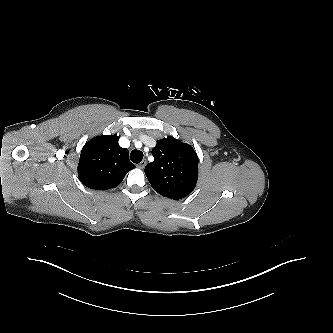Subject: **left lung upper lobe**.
Wrapping results in <instances>:
<instances>
[{
    "instance_id": "left-lung-upper-lobe-1",
    "label": "left lung upper lobe",
    "mask_w": 333,
    "mask_h": 333,
    "mask_svg": "<svg viewBox=\"0 0 333 333\" xmlns=\"http://www.w3.org/2000/svg\"><path fill=\"white\" fill-rule=\"evenodd\" d=\"M154 161L145 167L153 189L164 197L178 200L189 195L198 179V156L186 143L169 136L152 149Z\"/></svg>"
}]
</instances>
